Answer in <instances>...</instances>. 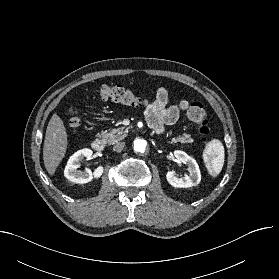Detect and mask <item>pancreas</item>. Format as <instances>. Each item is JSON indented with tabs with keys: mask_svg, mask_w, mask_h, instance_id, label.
Returning a JSON list of instances; mask_svg holds the SVG:
<instances>
[{
	"mask_svg": "<svg viewBox=\"0 0 279 279\" xmlns=\"http://www.w3.org/2000/svg\"><path fill=\"white\" fill-rule=\"evenodd\" d=\"M126 132L127 130L124 129L123 127L113 128L110 131L102 132L100 137L106 139L109 144H115L126 137ZM178 142L190 143L192 142V138L190 134L183 133L182 136H179L177 138L174 137L170 141L171 144H175Z\"/></svg>",
	"mask_w": 279,
	"mask_h": 279,
	"instance_id": "pancreas-1",
	"label": "pancreas"
}]
</instances>
